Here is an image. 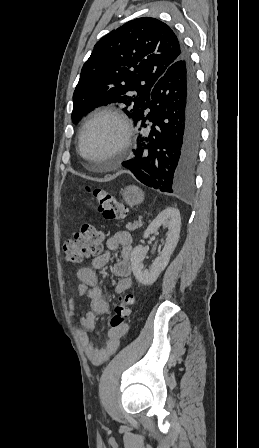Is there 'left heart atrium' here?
I'll list each match as a JSON object with an SVG mask.
<instances>
[{
    "label": "left heart atrium",
    "mask_w": 259,
    "mask_h": 448,
    "mask_svg": "<svg viewBox=\"0 0 259 448\" xmlns=\"http://www.w3.org/2000/svg\"><path fill=\"white\" fill-rule=\"evenodd\" d=\"M148 154H149V155H152V154H153V152H152V151H149V152H148Z\"/></svg>",
    "instance_id": "39dd6f15"
}]
</instances>
